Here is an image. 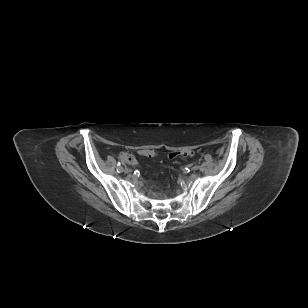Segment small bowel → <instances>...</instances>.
<instances>
[{"mask_svg":"<svg viewBox=\"0 0 308 308\" xmlns=\"http://www.w3.org/2000/svg\"><path fill=\"white\" fill-rule=\"evenodd\" d=\"M223 152V150L221 149L220 151H219V153L221 154Z\"/></svg>","mask_w":308,"mask_h":308,"instance_id":"small-bowel-1","label":"small bowel"}]
</instances>
